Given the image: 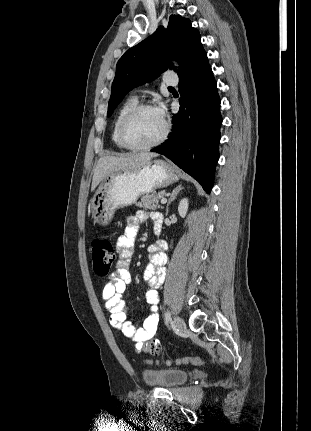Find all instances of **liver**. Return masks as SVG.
Segmentation results:
<instances>
[{"label": "liver", "mask_w": 311, "mask_h": 431, "mask_svg": "<svg viewBox=\"0 0 311 431\" xmlns=\"http://www.w3.org/2000/svg\"><path fill=\"white\" fill-rule=\"evenodd\" d=\"M159 154L140 152V154H124V156H104L99 158L92 178L91 192L96 190L102 180L114 172H137L141 166H146L152 158Z\"/></svg>", "instance_id": "liver-1"}]
</instances>
